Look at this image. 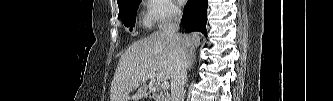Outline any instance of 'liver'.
Masks as SVG:
<instances>
[{
    "instance_id": "obj_1",
    "label": "liver",
    "mask_w": 333,
    "mask_h": 101,
    "mask_svg": "<svg viewBox=\"0 0 333 101\" xmlns=\"http://www.w3.org/2000/svg\"><path fill=\"white\" fill-rule=\"evenodd\" d=\"M179 35L186 49H195L200 45L199 33ZM174 65L173 49L162 31L134 42L118 63L111 84V101H139L147 95V76L153 73L158 81H166L172 77ZM135 87L139 89L130 97Z\"/></svg>"
}]
</instances>
